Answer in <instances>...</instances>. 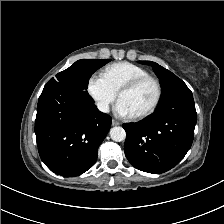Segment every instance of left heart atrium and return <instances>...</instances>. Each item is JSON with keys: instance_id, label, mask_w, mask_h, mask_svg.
Returning a JSON list of instances; mask_svg holds the SVG:
<instances>
[{"instance_id": "obj_1", "label": "left heart atrium", "mask_w": 224, "mask_h": 224, "mask_svg": "<svg viewBox=\"0 0 224 224\" xmlns=\"http://www.w3.org/2000/svg\"><path fill=\"white\" fill-rule=\"evenodd\" d=\"M115 112L117 115H119L121 117H132L133 116V114L128 109V107L120 100L116 104Z\"/></svg>"}]
</instances>
